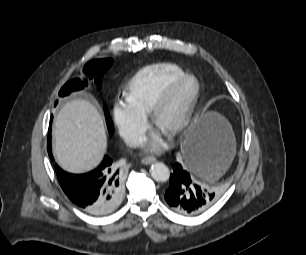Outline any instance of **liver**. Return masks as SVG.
Wrapping results in <instances>:
<instances>
[{"label": "liver", "mask_w": 306, "mask_h": 255, "mask_svg": "<svg viewBox=\"0 0 306 255\" xmlns=\"http://www.w3.org/2000/svg\"><path fill=\"white\" fill-rule=\"evenodd\" d=\"M53 152L59 166L80 174L97 167L107 148L102 117L89 101L75 99L59 111L53 129Z\"/></svg>", "instance_id": "1"}]
</instances>
